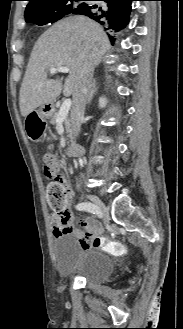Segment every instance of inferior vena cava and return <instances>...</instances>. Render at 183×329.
Returning <instances> with one entry per match:
<instances>
[{
  "instance_id": "inferior-vena-cava-1",
  "label": "inferior vena cava",
  "mask_w": 183,
  "mask_h": 329,
  "mask_svg": "<svg viewBox=\"0 0 183 329\" xmlns=\"http://www.w3.org/2000/svg\"><path fill=\"white\" fill-rule=\"evenodd\" d=\"M93 71V64L90 61H85L83 63L78 88L74 93L73 107L71 111V122L74 136H77L80 131L86 101L93 85Z\"/></svg>"
}]
</instances>
